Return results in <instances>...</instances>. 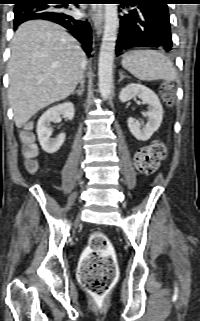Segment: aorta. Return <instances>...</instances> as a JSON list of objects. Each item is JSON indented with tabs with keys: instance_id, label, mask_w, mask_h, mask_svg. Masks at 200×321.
<instances>
[{
	"instance_id": "1",
	"label": "aorta",
	"mask_w": 200,
	"mask_h": 321,
	"mask_svg": "<svg viewBox=\"0 0 200 321\" xmlns=\"http://www.w3.org/2000/svg\"><path fill=\"white\" fill-rule=\"evenodd\" d=\"M119 19L117 4H105V25L99 54V91L103 99H108L112 89L113 61Z\"/></svg>"
}]
</instances>
